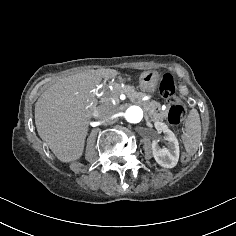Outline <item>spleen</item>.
Instances as JSON below:
<instances>
[{"instance_id":"1","label":"spleen","mask_w":236,"mask_h":236,"mask_svg":"<svg viewBox=\"0 0 236 236\" xmlns=\"http://www.w3.org/2000/svg\"><path fill=\"white\" fill-rule=\"evenodd\" d=\"M180 139L188 154L194 155L201 141V122L197 110H192L188 115Z\"/></svg>"}]
</instances>
